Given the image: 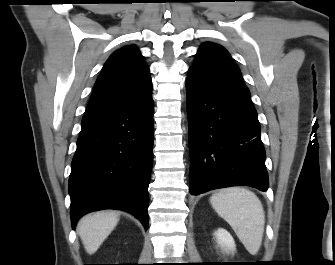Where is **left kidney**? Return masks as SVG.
<instances>
[{
	"mask_svg": "<svg viewBox=\"0 0 335 265\" xmlns=\"http://www.w3.org/2000/svg\"><path fill=\"white\" fill-rule=\"evenodd\" d=\"M218 246L226 253H233L236 250V245L231 234L223 229L219 228L214 233Z\"/></svg>",
	"mask_w": 335,
	"mask_h": 265,
	"instance_id": "5707ae66",
	"label": "left kidney"
}]
</instances>
